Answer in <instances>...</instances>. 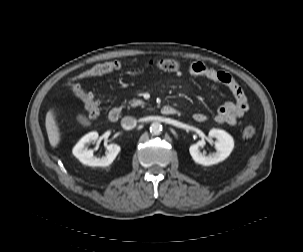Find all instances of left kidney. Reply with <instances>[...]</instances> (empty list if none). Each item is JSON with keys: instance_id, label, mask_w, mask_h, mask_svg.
Returning a JSON list of instances; mask_svg holds the SVG:
<instances>
[{"instance_id": "5707ae66", "label": "left kidney", "mask_w": 303, "mask_h": 252, "mask_svg": "<svg viewBox=\"0 0 303 252\" xmlns=\"http://www.w3.org/2000/svg\"><path fill=\"white\" fill-rule=\"evenodd\" d=\"M209 137L216 138L215 153L209 156H204L200 152V147L203 145L202 141H198L189 148V152L193 160L204 166H210L225 160L230 155L234 147L233 138L224 130L213 128L209 131Z\"/></svg>"}]
</instances>
